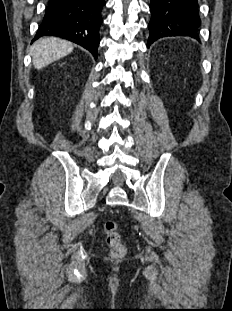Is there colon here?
Returning <instances> with one entry per match:
<instances>
[{"instance_id": "colon-1", "label": "colon", "mask_w": 232, "mask_h": 311, "mask_svg": "<svg viewBox=\"0 0 232 311\" xmlns=\"http://www.w3.org/2000/svg\"><path fill=\"white\" fill-rule=\"evenodd\" d=\"M103 228L111 257H123L126 253V247L121 240L117 223L111 220L106 221Z\"/></svg>"}]
</instances>
